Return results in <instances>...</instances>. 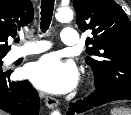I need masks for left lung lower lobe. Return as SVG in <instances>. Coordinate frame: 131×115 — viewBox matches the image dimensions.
<instances>
[{
	"mask_svg": "<svg viewBox=\"0 0 131 115\" xmlns=\"http://www.w3.org/2000/svg\"><path fill=\"white\" fill-rule=\"evenodd\" d=\"M115 100H131V91L128 90H101L91 93L83 100L71 103L67 115L81 114L94 107L106 104Z\"/></svg>",
	"mask_w": 131,
	"mask_h": 115,
	"instance_id": "left-lung-lower-lobe-1",
	"label": "left lung lower lobe"
}]
</instances>
